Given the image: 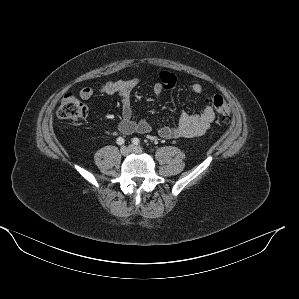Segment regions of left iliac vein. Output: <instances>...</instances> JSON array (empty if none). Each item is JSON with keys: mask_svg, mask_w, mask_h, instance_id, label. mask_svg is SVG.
I'll list each match as a JSON object with an SVG mask.
<instances>
[{"mask_svg": "<svg viewBox=\"0 0 299 299\" xmlns=\"http://www.w3.org/2000/svg\"><path fill=\"white\" fill-rule=\"evenodd\" d=\"M130 152L132 153H141L143 150L140 146L130 145L129 146Z\"/></svg>", "mask_w": 299, "mask_h": 299, "instance_id": "obj_1", "label": "left iliac vein"}]
</instances>
